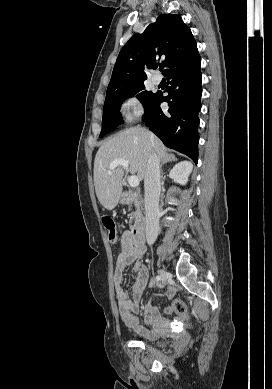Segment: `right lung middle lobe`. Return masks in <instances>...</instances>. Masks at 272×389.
<instances>
[{
  "mask_svg": "<svg viewBox=\"0 0 272 389\" xmlns=\"http://www.w3.org/2000/svg\"><path fill=\"white\" fill-rule=\"evenodd\" d=\"M157 95L158 92L153 93L147 91L144 83L107 93L103 109L100 137L105 136L122 123L120 108L124 100L136 96L146 110L155 101Z\"/></svg>",
  "mask_w": 272,
  "mask_h": 389,
  "instance_id": "obj_1",
  "label": "right lung middle lobe"
}]
</instances>
